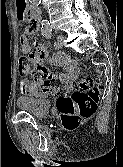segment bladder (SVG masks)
<instances>
[{"label":"bladder","instance_id":"bladder-1","mask_svg":"<svg viewBox=\"0 0 123 167\" xmlns=\"http://www.w3.org/2000/svg\"><path fill=\"white\" fill-rule=\"evenodd\" d=\"M18 107L38 119L45 118L50 111V103L43 97H19Z\"/></svg>","mask_w":123,"mask_h":167}]
</instances>
